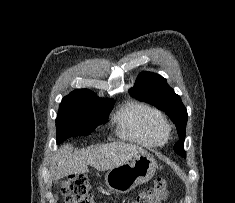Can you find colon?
Listing matches in <instances>:
<instances>
[{
	"label": "colon",
	"instance_id": "1",
	"mask_svg": "<svg viewBox=\"0 0 235 203\" xmlns=\"http://www.w3.org/2000/svg\"><path fill=\"white\" fill-rule=\"evenodd\" d=\"M62 193L67 203H95L90 184L84 175L69 176L62 185ZM166 196V181L158 178L152 186L137 193L130 203H161Z\"/></svg>",
	"mask_w": 235,
	"mask_h": 203
}]
</instances>
